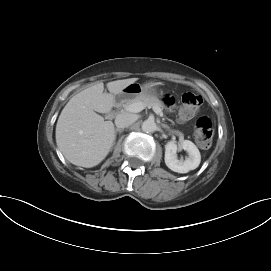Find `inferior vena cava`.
Segmentation results:
<instances>
[{
    "mask_svg": "<svg viewBox=\"0 0 271 271\" xmlns=\"http://www.w3.org/2000/svg\"><path fill=\"white\" fill-rule=\"evenodd\" d=\"M136 121V117L129 113L118 114L115 118L117 128H126Z\"/></svg>",
    "mask_w": 271,
    "mask_h": 271,
    "instance_id": "1",
    "label": "inferior vena cava"
}]
</instances>
